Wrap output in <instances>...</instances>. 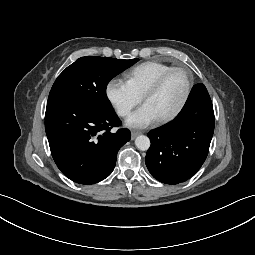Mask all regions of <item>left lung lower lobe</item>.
<instances>
[{
	"label": "left lung lower lobe",
	"mask_w": 255,
	"mask_h": 255,
	"mask_svg": "<svg viewBox=\"0 0 255 255\" xmlns=\"http://www.w3.org/2000/svg\"><path fill=\"white\" fill-rule=\"evenodd\" d=\"M214 132V111L203 84L193 86L173 121L148 133L151 147L145 162L151 175L165 184L190 179L204 163Z\"/></svg>",
	"instance_id": "1"
}]
</instances>
